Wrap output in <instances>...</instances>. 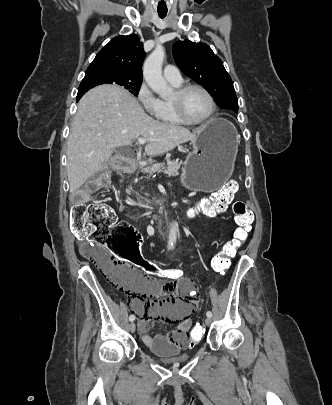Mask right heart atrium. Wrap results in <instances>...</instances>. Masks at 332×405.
<instances>
[{
    "instance_id": "right-heart-atrium-1",
    "label": "right heart atrium",
    "mask_w": 332,
    "mask_h": 405,
    "mask_svg": "<svg viewBox=\"0 0 332 405\" xmlns=\"http://www.w3.org/2000/svg\"><path fill=\"white\" fill-rule=\"evenodd\" d=\"M136 97L147 114L154 117L158 116L160 111V100L153 94L145 82L139 86Z\"/></svg>"
}]
</instances>
